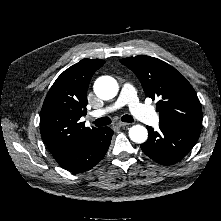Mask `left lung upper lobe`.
Here are the masks:
<instances>
[{
	"label": "left lung upper lobe",
	"instance_id": "left-lung-upper-lobe-1",
	"mask_svg": "<svg viewBox=\"0 0 221 221\" xmlns=\"http://www.w3.org/2000/svg\"><path fill=\"white\" fill-rule=\"evenodd\" d=\"M140 80L146 96L158 98L160 125L199 129L202 108L190 83L172 66L157 58L139 55L121 59Z\"/></svg>",
	"mask_w": 221,
	"mask_h": 221
}]
</instances>
